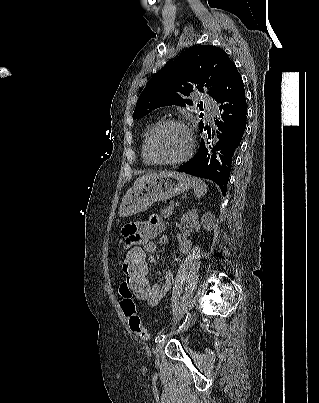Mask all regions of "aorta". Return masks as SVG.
<instances>
[{
  "label": "aorta",
  "instance_id": "aorta-1",
  "mask_svg": "<svg viewBox=\"0 0 319 403\" xmlns=\"http://www.w3.org/2000/svg\"><path fill=\"white\" fill-rule=\"evenodd\" d=\"M217 141H218V138L215 137L214 140H213V143L215 144Z\"/></svg>",
  "mask_w": 319,
  "mask_h": 403
}]
</instances>
